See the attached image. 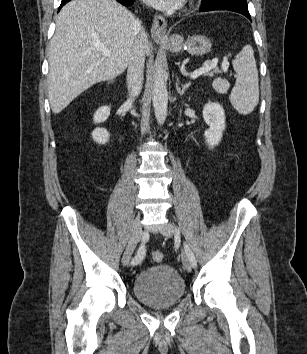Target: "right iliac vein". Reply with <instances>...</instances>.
Here are the masks:
<instances>
[{
  "label": "right iliac vein",
  "instance_id": "right-iliac-vein-1",
  "mask_svg": "<svg viewBox=\"0 0 307 354\" xmlns=\"http://www.w3.org/2000/svg\"><path fill=\"white\" fill-rule=\"evenodd\" d=\"M141 236H142V229L140 223V216L137 215L133 221L130 239L122 257L123 266H126L129 263L133 251L137 243L140 241Z\"/></svg>",
  "mask_w": 307,
  "mask_h": 354
}]
</instances>
